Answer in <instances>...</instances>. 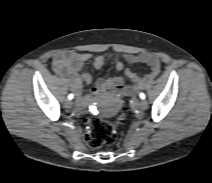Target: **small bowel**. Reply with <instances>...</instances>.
<instances>
[{"instance_id":"1","label":"small bowel","mask_w":212,"mask_h":183,"mask_svg":"<svg viewBox=\"0 0 212 183\" xmlns=\"http://www.w3.org/2000/svg\"><path fill=\"white\" fill-rule=\"evenodd\" d=\"M107 59L113 61L117 71H122L124 69L123 61L115 54L97 55L93 57L89 53L66 51L55 55L53 59L54 70L77 94V106L79 109L83 110L88 101L100 93L110 92L116 95H130L136 93L144 86V79L142 77L137 75L133 70L126 69L125 75L129 79L130 85H126L125 80L119 76L104 77L97 81L90 96H83L81 94L82 87L91 82V76L88 73H81V68L89 61H92L93 67L99 70L103 67ZM124 59L130 64L142 63L148 65L152 75L157 74L160 70V59L153 53L144 52L138 55L125 54Z\"/></svg>"}]
</instances>
